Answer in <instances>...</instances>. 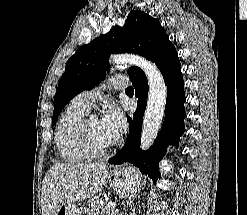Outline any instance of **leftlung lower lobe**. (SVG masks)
Instances as JSON below:
<instances>
[{"instance_id": "obj_1", "label": "left lung lower lobe", "mask_w": 247, "mask_h": 215, "mask_svg": "<svg viewBox=\"0 0 247 215\" xmlns=\"http://www.w3.org/2000/svg\"><path fill=\"white\" fill-rule=\"evenodd\" d=\"M152 61L159 67L167 85L165 118L161 131L150 149L147 151L140 149L141 126L148 96V81L144 72L140 71L130 78L135 87L138 107L133 118H128L129 135L124 147L108 163L130 162L156 184L160 177L158 164L165 155L167 146L173 144L177 147L179 138L185 130V92L177 51L169 40L160 47Z\"/></svg>"}]
</instances>
